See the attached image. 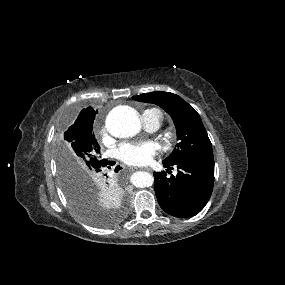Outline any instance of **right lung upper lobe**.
I'll list each match as a JSON object with an SVG mask.
<instances>
[{
  "mask_svg": "<svg viewBox=\"0 0 285 285\" xmlns=\"http://www.w3.org/2000/svg\"><path fill=\"white\" fill-rule=\"evenodd\" d=\"M96 113L97 111L95 112L91 107L83 109L75 123L69 127V130L86 129L88 127H92Z\"/></svg>",
  "mask_w": 285,
  "mask_h": 285,
  "instance_id": "cb5924a9",
  "label": "right lung upper lobe"
}]
</instances>
